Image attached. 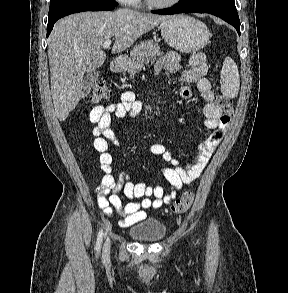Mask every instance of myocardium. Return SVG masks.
<instances>
[{"mask_svg":"<svg viewBox=\"0 0 288 293\" xmlns=\"http://www.w3.org/2000/svg\"><path fill=\"white\" fill-rule=\"evenodd\" d=\"M146 4L158 9H165L175 6L180 0H169L167 2H157L155 0H144Z\"/></svg>","mask_w":288,"mask_h":293,"instance_id":"obj_1","label":"myocardium"}]
</instances>
